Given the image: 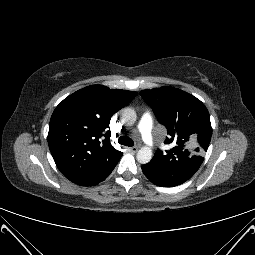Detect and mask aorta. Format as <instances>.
Returning a JSON list of instances; mask_svg holds the SVG:
<instances>
[{
    "label": "aorta",
    "instance_id": "1",
    "mask_svg": "<svg viewBox=\"0 0 255 255\" xmlns=\"http://www.w3.org/2000/svg\"><path fill=\"white\" fill-rule=\"evenodd\" d=\"M121 119L124 123L132 124L136 120V114L132 109H124L121 113ZM152 149L148 146L141 147L137 152V161L141 164H147L152 159Z\"/></svg>",
    "mask_w": 255,
    "mask_h": 255
}]
</instances>
